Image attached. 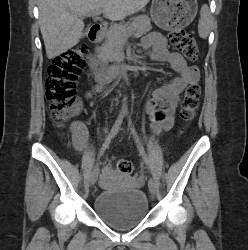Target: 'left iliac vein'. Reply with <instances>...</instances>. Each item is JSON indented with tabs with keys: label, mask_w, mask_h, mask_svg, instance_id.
Here are the masks:
<instances>
[{
	"label": "left iliac vein",
	"mask_w": 248,
	"mask_h": 250,
	"mask_svg": "<svg viewBox=\"0 0 248 250\" xmlns=\"http://www.w3.org/2000/svg\"><path fill=\"white\" fill-rule=\"evenodd\" d=\"M148 187H149L150 193H151L153 196L156 195V192H157V184H156V182H155V180H154L153 178H150V179H149Z\"/></svg>",
	"instance_id": "1"
}]
</instances>
